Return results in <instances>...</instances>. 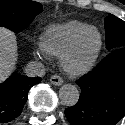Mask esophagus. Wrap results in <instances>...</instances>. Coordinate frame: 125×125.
Wrapping results in <instances>:
<instances>
[{
	"label": "esophagus",
	"instance_id": "obj_1",
	"mask_svg": "<svg viewBox=\"0 0 125 125\" xmlns=\"http://www.w3.org/2000/svg\"><path fill=\"white\" fill-rule=\"evenodd\" d=\"M50 82H51L53 85L60 86V85L63 84V79H62V77H60L59 75H53V76L50 78Z\"/></svg>",
	"mask_w": 125,
	"mask_h": 125
}]
</instances>
